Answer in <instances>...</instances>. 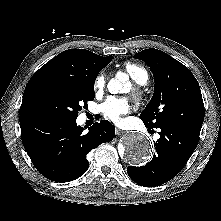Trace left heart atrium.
<instances>
[{
	"label": "left heart atrium",
	"instance_id": "obj_1",
	"mask_svg": "<svg viewBox=\"0 0 221 221\" xmlns=\"http://www.w3.org/2000/svg\"><path fill=\"white\" fill-rule=\"evenodd\" d=\"M130 111L131 104L126 98L108 97L101 105L103 116L115 124H121L122 116Z\"/></svg>",
	"mask_w": 221,
	"mask_h": 221
}]
</instances>
